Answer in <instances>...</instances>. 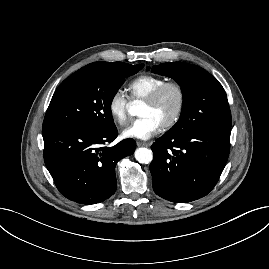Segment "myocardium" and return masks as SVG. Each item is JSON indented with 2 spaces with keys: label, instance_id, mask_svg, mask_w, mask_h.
<instances>
[{
  "label": "myocardium",
  "instance_id": "f54148a6",
  "mask_svg": "<svg viewBox=\"0 0 269 269\" xmlns=\"http://www.w3.org/2000/svg\"><path fill=\"white\" fill-rule=\"evenodd\" d=\"M170 88L176 90L178 94V106L171 119L162 125L163 130H169L173 128L180 121L184 113L187 99L184 86L178 81H166L155 88L147 97L143 99L144 103L153 105L160 99L162 94Z\"/></svg>",
  "mask_w": 269,
  "mask_h": 269
}]
</instances>
